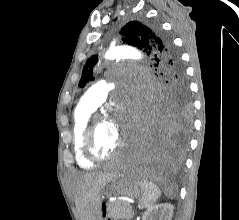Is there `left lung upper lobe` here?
I'll use <instances>...</instances> for the list:
<instances>
[{
  "label": "left lung upper lobe",
  "mask_w": 239,
  "mask_h": 220,
  "mask_svg": "<svg viewBox=\"0 0 239 220\" xmlns=\"http://www.w3.org/2000/svg\"><path fill=\"white\" fill-rule=\"evenodd\" d=\"M124 43L137 47L155 60V66L162 68L165 84L157 95L158 108L163 107L181 129L190 124L192 104L189 99L184 69L171 41L157 25H144L138 21L127 23L120 31ZM97 63V56L87 60L82 71L80 87L93 80L92 67Z\"/></svg>",
  "instance_id": "obj_1"
}]
</instances>
